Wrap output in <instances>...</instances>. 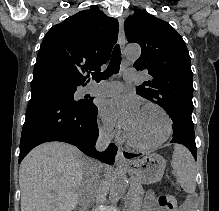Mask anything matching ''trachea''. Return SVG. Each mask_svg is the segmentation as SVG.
Returning <instances> with one entry per match:
<instances>
[{
	"label": "trachea",
	"mask_w": 219,
	"mask_h": 211,
	"mask_svg": "<svg viewBox=\"0 0 219 211\" xmlns=\"http://www.w3.org/2000/svg\"><path fill=\"white\" fill-rule=\"evenodd\" d=\"M121 64V50L119 45H115L112 53L111 60L109 62L108 67L102 73L98 70L95 73H92V78L95 82H99L100 80H107L114 73H119Z\"/></svg>",
	"instance_id": "trachea-1"
}]
</instances>
